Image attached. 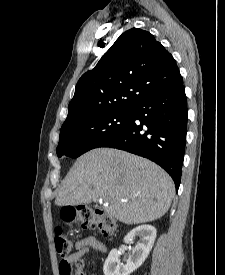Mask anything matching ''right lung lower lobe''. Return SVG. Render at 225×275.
<instances>
[{
    "label": "right lung lower lobe",
    "instance_id": "right-lung-lower-lobe-1",
    "mask_svg": "<svg viewBox=\"0 0 225 275\" xmlns=\"http://www.w3.org/2000/svg\"><path fill=\"white\" fill-rule=\"evenodd\" d=\"M183 82L151 94L131 109L126 126L99 147H112L148 158L180 185L187 132ZM139 120L140 124L135 123Z\"/></svg>",
    "mask_w": 225,
    "mask_h": 275
}]
</instances>
